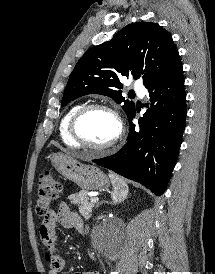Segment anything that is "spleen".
Masks as SVG:
<instances>
[{
    "label": "spleen",
    "mask_w": 215,
    "mask_h": 274,
    "mask_svg": "<svg viewBox=\"0 0 215 274\" xmlns=\"http://www.w3.org/2000/svg\"><path fill=\"white\" fill-rule=\"evenodd\" d=\"M114 192L111 194L114 203L118 202L123 196V189L128 188L127 184L117 175L109 173Z\"/></svg>",
    "instance_id": "3e777b00"
}]
</instances>
